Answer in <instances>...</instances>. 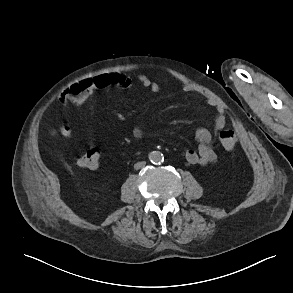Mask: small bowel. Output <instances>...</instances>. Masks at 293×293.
<instances>
[{
  "label": "small bowel",
  "mask_w": 293,
  "mask_h": 293,
  "mask_svg": "<svg viewBox=\"0 0 293 293\" xmlns=\"http://www.w3.org/2000/svg\"><path fill=\"white\" fill-rule=\"evenodd\" d=\"M140 84L156 93L159 90L158 83L148 77L139 76ZM132 87L131 80L121 72L101 73L92 77L79 80L65 89L61 95L62 102H70L73 105L81 106L85 104L92 95L99 90L107 88L129 89ZM184 92H195L198 90L189 84H182ZM226 125V117L222 108H217L215 127L221 129ZM135 137L140 136V129L133 128ZM195 139L198 143L197 150H188L185 154L186 161L192 165H207L217 159V154L212 147V134L208 129L200 128L195 132Z\"/></svg>",
  "instance_id": "obj_1"
}]
</instances>
